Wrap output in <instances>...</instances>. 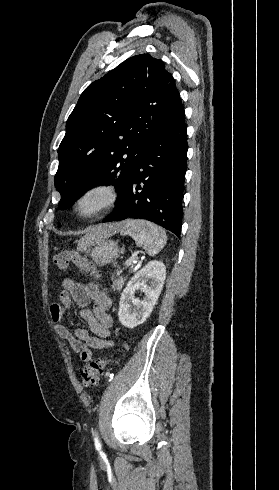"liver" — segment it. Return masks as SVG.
Returning a JSON list of instances; mask_svg holds the SVG:
<instances>
[{
  "label": "liver",
  "instance_id": "liver-1",
  "mask_svg": "<svg viewBox=\"0 0 279 490\" xmlns=\"http://www.w3.org/2000/svg\"><path fill=\"white\" fill-rule=\"evenodd\" d=\"M124 222H118V224H100V226H94L91 228L81 240L78 242V246L83 252L89 246H93L94 242H98V240H103V238H110L112 234H117L120 232Z\"/></svg>",
  "mask_w": 279,
  "mask_h": 490
}]
</instances>
